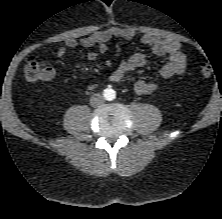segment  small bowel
Instances as JSON below:
<instances>
[{
    "label": "small bowel",
    "mask_w": 222,
    "mask_h": 219,
    "mask_svg": "<svg viewBox=\"0 0 222 219\" xmlns=\"http://www.w3.org/2000/svg\"><path fill=\"white\" fill-rule=\"evenodd\" d=\"M136 31L132 28L125 27H112L104 30L97 31L88 37L82 39L70 38L66 42V47L58 49L56 55L63 57L67 49H74L76 47H96L87 53L89 61H95L101 54L107 50V44L113 39L132 40L136 37ZM144 45L148 46L154 55L166 56L168 61L162 65L159 70V75L163 79L171 78L175 75L182 74L187 68V57L182 49L180 43L170 39H162L154 34L145 33L141 37ZM145 55L136 52L130 57L120 63V65L110 74L109 79L114 83H121L125 77L142 67L145 64ZM49 76L45 81L51 80L55 75V70L48 67ZM160 87L158 82L138 80L134 84V90L137 94L144 95L156 91ZM89 89H94L95 84H89Z\"/></svg>",
    "instance_id": "1"
}]
</instances>
